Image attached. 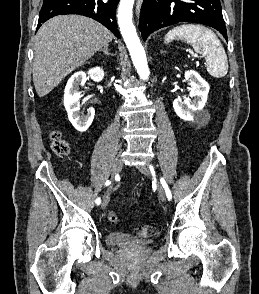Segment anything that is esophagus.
I'll use <instances>...</instances> for the list:
<instances>
[{"mask_svg": "<svg viewBox=\"0 0 259 294\" xmlns=\"http://www.w3.org/2000/svg\"><path fill=\"white\" fill-rule=\"evenodd\" d=\"M142 2H143V0H137V2H136V14L137 15H139V13H140Z\"/></svg>", "mask_w": 259, "mask_h": 294, "instance_id": "esophagus-1", "label": "esophagus"}]
</instances>
